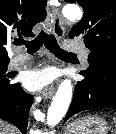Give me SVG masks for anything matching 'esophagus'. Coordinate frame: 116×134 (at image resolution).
Instances as JSON below:
<instances>
[{
  "instance_id": "34e87169",
  "label": "esophagus",
  "mask_w": 116,
  "mask_h": 134,
  "mask_svg": "<svg viewBox=\"0 0 116 134\" xmlns=\"http://www.w3.org/2000/svg\"><path fill=\"white\" fill-rule=\"evenodd\" d=\"M51 21L53 25V34L58 38H62L65 34V28L63 25L62 16L57 8L52 7L51 9ZM54 91L55 86L54 84H51L43 91V96L50 98L54 94Z\"/></svg>"
}]
</instances>
